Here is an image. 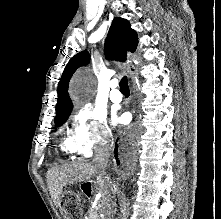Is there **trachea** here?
I'll return each instance as SVG.
<instances>
[{"mask_svg": "<svg viewBox=\"0 0 221 219\" xmlns=\"http://www.w3.org/2000/svg\"><path fill=\"white\" fill-rule=\"evenodd\" d=\"M119 86H120V91L129 92L128 79L126 76H124L121 79Z\"/></svg>", "mask_w": 221, "mask_h": 219, "instance_id": "1", "label": "trachea"}]
</instances>
